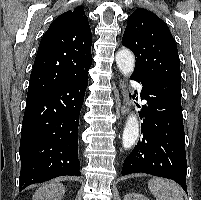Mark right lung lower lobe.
<instances>
[{
    "label": "right lung lower lobe",
    "instance_id": "1",
    "mask_svg": "<svg viewBox=\"0 0 201 200\" xmlns=\"http://www.w3.org/2000/svg\"><path fill=\"white\" fill-rule=\"evenodd\" d=\"M88 70L65 84L27 95L19 149L20 191L58 176H81L77 132Z\"/></svg>",
    "mask_w": 201,
    "mask_h": 200
}]
</instances>
